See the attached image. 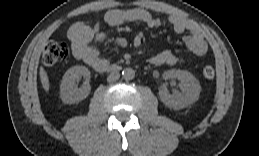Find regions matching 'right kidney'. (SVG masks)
Instances as JSON below:
<instances>
[{"label": "right kidney", "mask_w": 259, "mask_h": 156, "mask_svg": "<svg viewBox=\"0 0 259 156\" xmlns=\"http://www.w3.org/2000/svg\"><path fill=\"white\" fill-rule=\"evenodd\" d=\"M85 78V82L80 88L75 87V81L80 77ZM90 71L85 66H73L69 68L61 81V99L66 104H75L84 100L91 91L89 84Z\"/></svg>", "instance_id": "obj_1"}]
</instances>
